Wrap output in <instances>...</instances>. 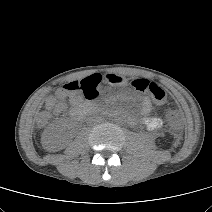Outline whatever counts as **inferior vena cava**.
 Wrapping results in <instances>:
<instances>
[{
    "label": "inferior vena cava",
    "mask_w": 212,
    "mask_h": 212,
    "mask_svg": "<svg viewBox=\"0 0 212 212\" xmlns=\"http://www.w3.org/2000/svg\"><path fill=\"white\" fill-rule=\"evenodd\" d=\"M94 120H95V117H89V118H88V122H90V123H91L92 121H94Z\"/></svg>",
    "instance_id": "obj_1"
}]
</instances>
